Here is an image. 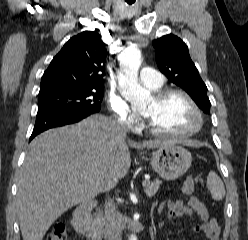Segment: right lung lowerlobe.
<instances>
[{
	"label": "right lung lower lobe",
	"instance_id": "98d812e1",
	"mask_svg": "<svg viewBox=\"0 0 248 240\" xmlns=\"http://www.w3.org/2000/svg\"><path fill=\"white\" fill-rule=\"evenodd\" d=\"M90 114L92 113H74L58 110L40 111L37 113L35 126L29 141L47 129L78 122Z\"/></svg>",
	"mask_w": 248,
	"mask_h": 240
}]
</instances>
